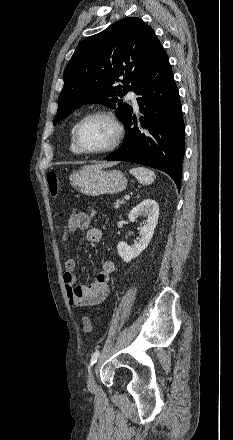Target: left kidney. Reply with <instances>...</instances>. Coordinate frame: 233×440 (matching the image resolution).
Segmentation results:
<instances>
[{
  "label": "left kidney",
  "mask_w": 233,
  "mask_h": 440,
  "mask_svg": "<svg viewBox=\"0 0 233 440\" xmlns=\"http://www.w3.org/2000/svg\"><path fill=\"white\" fill-rule=\"evenodd\" d=\"M140 216L147 217V219L145 224L140 227V239L138 243L129 246L126 242L120 241L117 245L118 254L126 263L138 257L150 243L158 222V203L153 199H146L130 211L128 218L131 222H134Z\"/></svg>",
  "instance_id": "obj_1"
}]
</instances>
